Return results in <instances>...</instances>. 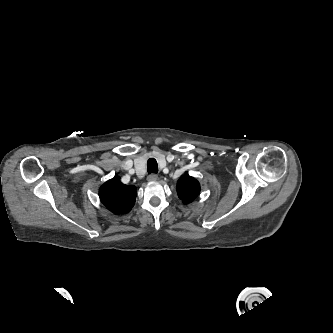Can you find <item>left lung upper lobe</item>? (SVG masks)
Wrapping results in <instances>:
<instances>
[{"instance_id": "left-lung-upper-lobe-1", "label": "left lung upper lobe", "mask_w": 333, "mask_h": 333, "mask_svg": "<svg viewBox=\"0 0 333 333\" xmlns=\"http://www.w3.org/2000/svg\"><path fill=\"white\" fill-rule=\"evenodd\" d=\"M177 192L183 203H190L200 193V184L191 176L181 177L177 182Z\"/></svg>"}]
</instances>
